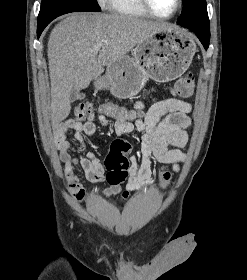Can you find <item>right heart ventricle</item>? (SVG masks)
Here are the masks:
<instances>
[{
	"label": "right heart ventricle",
	"mask_w": 247,
	"mask_h": 280,
	"mask_svg": "<svg viewBox=\"0 0 247 280\" xmlns=\"http://www.w3.org/2000/svg\"><path fill=\"white\" fill-rule=\"evenodd\" d=\"M108 9L118 15L130 17H148L139 0H107Z\"/></svg>",
	"instance_id": "e07e8e85"
}]
</instances>
